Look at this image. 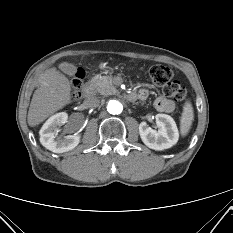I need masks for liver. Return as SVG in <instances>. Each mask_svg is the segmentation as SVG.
Here are the masks:
<instances>
[{"label": "liver", "mask_w": 233, "mask_h": 233, "mask_svg": "<svg viewBox=\"0 0 233 233\" xmlns=\"http://www.w3.org/2000/svg\"><path fill=\"white\" fill-rule=\"evenodd\" d=\"M38 84L39 86L33 94L27 117L28 124L31 127L43 122L71 100L69 80L54 67L39 75Z\"/></svg>", "instance_id": "1"}]
</instances>
